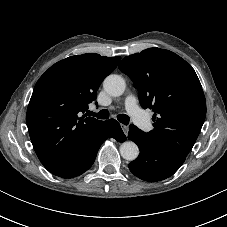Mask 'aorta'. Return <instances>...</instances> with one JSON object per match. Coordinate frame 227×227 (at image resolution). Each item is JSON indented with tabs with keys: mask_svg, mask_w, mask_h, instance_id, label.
Wrapping results in <instances>:
<instances>
[{
	"mask_svg": "<svg viewBox=\"0 0 227 227\" xmlns=\"http://www.w3.org/2000/svg\"><path fill=\"white\" fill-rule=\"evenodd\" d=\"M105 91L114 97L121 96L126 88L124 79L115 74L107 76L103 83ZM121 156L128 161L135 160L139 155L138 146L132 141L123 142L120 146Z\"/></svg>",
	"mask_w": 227,
	"mask_h": 227,
	"instance_id": "aorta-1",
	"label": "aorta"
}]
</instances>
